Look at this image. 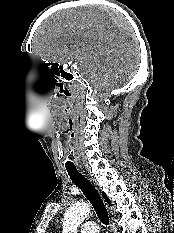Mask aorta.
<instances>
[{"instance_id": "obj_1", "label": "aorta", "mask_w": 174, "mask_h": 233, "mask_svg": "<svg viewBox=\"0 0 174 233\" xmlns=\"http://www.w3.org/2000/svg\"><path fill=\"white\" fill-rule=\"evenodd\" d=\"M90 211L89 205L85 202H78L72 205L64 215L62 233H77L78 227Z\"/></svg>"}]
</instances>
